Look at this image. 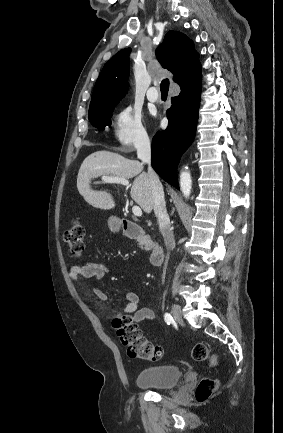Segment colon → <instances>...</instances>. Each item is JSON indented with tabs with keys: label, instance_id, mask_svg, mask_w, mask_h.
Returning <instances> with one entry per match:
<instances>
[{
	"label": "colon",
	"instance_id": "5ec220e1",
	"mask_svg": "<svg viewBox=\"0 0 283 433\" xmlns=\"http://www.w3.org/2000/svg\"><path fill=\"white\" fill-rule=\"evenodd\" d=\"M64 242L74 257H81L85 250V227L80 220H74L64 234ZM112 327L115 329L121 343L126 347L128 356L143 360L155 361L160 358V346L148 341L142 334L139 326L130 315H121L114 318ZM192 357L198 362L217 363L216 357L203 343H197L192 348ZM218 388L216 380L202 379L195 391L198 402H205Z\"/></svg>",
	"mask_w": 283,
	"mask_h": 433
}]
</instances>
